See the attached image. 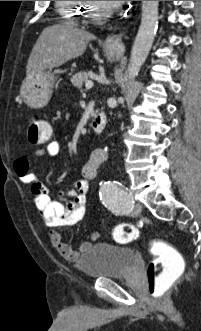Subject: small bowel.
Instances as JSON below:
<instances>
[{
	"instance_id": "obj_1",
	"label": "small bowel",
	"mask_w": 201,
	"mask_h": 331,
	"mask_svg": "<svg viewBox=\"0 0 201 331\" xmlns=\"http://www.w3.org/2000/svg\"><path fill=\"white\" fill-rule=\"evenodd\" d=\"M61 150L60 143L51 141L45 148L39 149L34 156L55 158ZM108 158L103 148L95 149L81 170V178L77 179L72 188L62 192L59 199H52L47 187L30 172L29 160L26 157L17 158L14 170L18 178L30 185V192L35 206L44 222L50 228V240L57 251L67 260L75 261L92 246L91 242L82 243L77 249L72 248L70 240L63 237L55 228L78 224L85 216L87 208L88 181L93 179L98 167ZM97 235H94V239Z\"/></svg>"
}]
</instances>
